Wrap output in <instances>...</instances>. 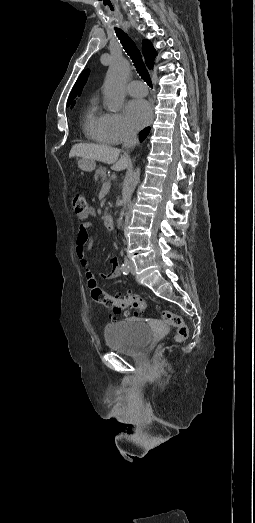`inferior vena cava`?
Instances as JSON below:
<instances>
[{
	"instance_id": "inferior-vena-cava-1",
	"label": "inferior vena cava",
	"mask_w": 255,
	"mask_h": 523,
	"mask_svg": "<svg viewBox=\"0 0 255 523\" xmlns=\"http://www.w3.org/2000/svg\"><path fill=\"white\" fill-rule=\"evenodd\" d=\"M137 142V132H134V130H130V128H128V130H126L124 146H126V148H132V146H135Z\"/></svg>"
}]
</instances>
